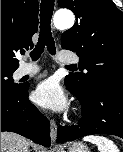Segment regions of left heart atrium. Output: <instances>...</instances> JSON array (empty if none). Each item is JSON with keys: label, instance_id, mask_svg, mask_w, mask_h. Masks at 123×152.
Masks as SVG:
<instances>
[{"label": "left heart atrium", "instance_id": "1", "mask_svg": "<svg viewBox=\"0 0 123 152\" xmlns=\"http://www.w3.org/2000/svg\"><path fill=\"white\" fill-rule=\"evenodd\" d=\"M34 100L41 107L56 112H61L68 106V98L54 78L43 80L37 85L34 91Z\"/></svg>", "mask_w": 123, "mask_h": 152}]
</instances>
